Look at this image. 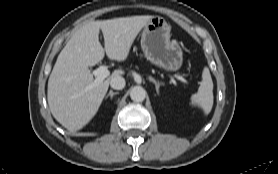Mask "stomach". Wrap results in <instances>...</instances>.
<instances>
[{
	"instance_id": "stomach-1",
	"label": "stomach",
	"mask_w": 278,
	"mask_h": 174,
	"mask_svg": "<svg viewBox=\"0 0 278 174\" xmlns=\"http://www.w3.org/2000/svg\"><path fill=\"white\" fill-rule=\"evenodd\" d=\"M171 27L162 17H152L141 36L145 57L154 65L167 71H177L183 63L179 43L171 39Z\"/></svg>"
}]
</instances>
